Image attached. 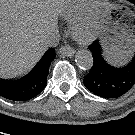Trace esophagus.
Instances as JSON below:
<instances>
[{
  "label": "esophagus",
  "instance_id": "1",
  "mask_svg": "<svg viewBox=\"0 0 135 135\" xmlns=\"http://www.w3.org/2000/svg\"><path fill=\"white\" fill-rule=\"evenodd\" d=\"M59 53L66 57H72L75 54V50L69 45H64L59 48Z\"/></svg>",
  "mask_w": 135,
  "mask_h": 135
}]
</instances>
